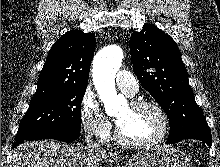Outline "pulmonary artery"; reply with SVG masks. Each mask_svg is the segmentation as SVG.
Masks as SVG:
<instances>
[{
  "instance_id": "1",
  "label": "pulmonary artery",
  "mask_w": 220,
  "mask_h": 167,
  "mask_svg": "<svg viewBox=\"0 0 220 167\" xmlns=\"http://www.w3.org/2000/svg\"><path fill=\"white\" fill-rule=\"evenodd\" d=\"M116 84L127 96H133L138 91V82L136 78L126 70H120L116 74Z\"/></svg>"
}]
</instances>
